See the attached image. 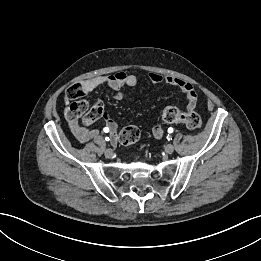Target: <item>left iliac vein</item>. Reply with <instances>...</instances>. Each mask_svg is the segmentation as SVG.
<instances>
[{"mask_svg": "<svg viewBox=\"0 0 261 261\" xmlns=\"http://www.w3.org/2000/svg\"><path fill=\"white\" fill-rule=\"evenodd\" d=\"M164 150L167 154H171L174 151V146L169 143V144L165 145Z\"/></svg>", "mask_w": 261, "mask_h": 261, "instance_id": "1", "label": "left iliac vein"}]
</instances>
